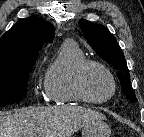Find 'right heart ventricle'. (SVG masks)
Instances as JSON below:
<instances>
[{
	"mask_svg": "<svg viewBox=\"0 0 144 137\" xmlns=\"http://www.w3.org/2000/svg\"><path fill=\"white\" fill-rule=\"evenodd\" d=\"M86 56L78 44L65 41L57 50L44 74V88L55 104H75L79 100L74 92L73 80L77 68Z\"/></svg>",
	"mask_w": 144,
	"mask_h": 137,
	"instance_id": "e07e8e85",
	"label": "right heart ventricle"
}]
</instances>
